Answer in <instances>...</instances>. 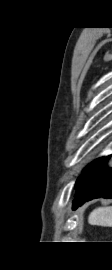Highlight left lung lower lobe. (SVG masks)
<instances>
[{"mask_svg": "<svg viewBox=\"0 0 112 270\" xmlns=\"http://www.w3.org/2000/svg\"><path fill=\"white\" fill-rule=\"evenodd\" d=\"M108 159L109 156L101 158L77 179L73 210L94 198H112V169L106 166Z\"/></svg>", "mask_w": 112, "mask_h": 270, "instance_id": "0a47b994", "label": "left lung lower lobe"}]
</instances>
